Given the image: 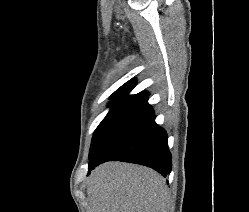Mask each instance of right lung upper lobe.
<instances>
[{"label":"right lung upper lobe","instance_id":"cb5924a9","mask_svg":"<svg viewBox=\"0 0 249 212\" xmlns=\"http://www.w3.org/2000/svg\"><path fill=\"white\" fill-rule=\"evenodd\" d=\"M136 81L135 80H130L124 85H122L119 89H117L113 95H123L126 96L128 93L135 87ZM148 95V92L143 91L135 95H131L133 97L139 98Z\"/></svg>","mask_w":249,"mask_h":212}]
</instances>
